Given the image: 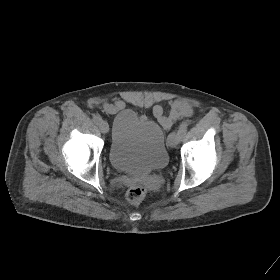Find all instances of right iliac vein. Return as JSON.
I'll list each match as a JSON object with an SVG mask.
<instances>
[{
    "label": "right iliac vein",
    "instance_id": "obj_1",
    "mask_svg": "<svg viewBox=\"0 0 280 280\" xmlns=\"http://www.w3.org/2000/svg\"><path fill=\"white\" fill-rule=\"evenodd\" d=\"M99 129L102 133H107L109 131V125L106 121H101L99 124Z\"/></svg>",
    "mask_w": 280,
    "mask_h": 280
}]
</instances>
